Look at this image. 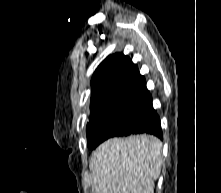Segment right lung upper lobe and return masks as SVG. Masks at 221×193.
Instances as JSON below:
<instances>
[{"label":"right lung upper lobe","mask_w":221,"mask_h":193,"mask_svg":"<svg viewBox=\"0 0 221 193\" xmlns=\"http://www.w3.org/2000/svg\"><path fill=\"white\" fill-rule=\"evenodd\" d=\"M91 86L90 115L120 101L152 102L144 77L122 53L110 55L98 66Z\"/></svg>","instance_id":"right-lung-upper-lobe-1"}]
</instances>
